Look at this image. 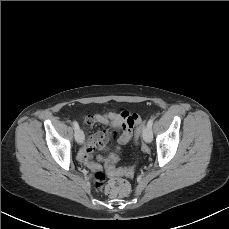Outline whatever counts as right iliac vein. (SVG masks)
Segmentation results:
<instances>
[{"instance_id":"right-iliac-vein-1","label":"right iliac vein","mask_w":229,"mask_h":229,"mask_svg":"<svg viewBox=\"0 0 229 229\" xmlns=\"http://www.w3.org/2000/svg\"><path fill=\"white\" fill-rule=\"evenodd\" d=\"M75 140H76V142L78 144H82L83 143V141H84V133H83L82 130L79 129V130H77L75 132Z\"/></svg>"}]
</instances>
